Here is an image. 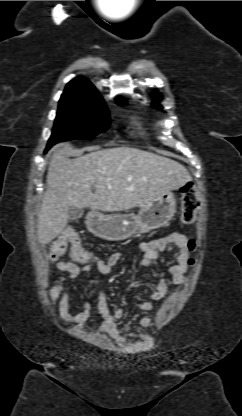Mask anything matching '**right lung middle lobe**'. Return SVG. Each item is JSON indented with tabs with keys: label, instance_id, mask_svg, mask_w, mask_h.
<instances>
[{
	"label": "right lung middle lobe",
	"instance_id": "obj_1",
	"mask_svg": "<svg viewBox=\"0 0 242 416\" xmlns=\"http://www.w3.org/2000/svg\"><path fill=\"white\" fill-rule=\"evenodd\" d=\"M117 103L126 105V101ZM109 125L110 117L105 102H59L53 133L46 150L60 141L92 139L99 133L105 132Z\"/></svg>",
	"mask_w": 242,
	"mask_h": 416
}]
</instances>
